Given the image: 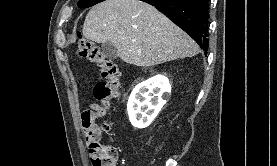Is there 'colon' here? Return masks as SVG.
I'll return each mask as SVG.
<instances>
[{"instance_id": "colon-1", "label": "colon", "mask_w": 277, "mask_h": 166, "mask_svg": "<svg viewBox=\"0 0 277 166\" xmlns=\"http://www.w3.org/2000/svg\"><path fill=\"white\" fill-rule=\"evenodd\" d=\"M77 53L80 57L95 63L101 73V80L94 87V96L101 102L102 110H108L118 95L120 72L116 64L105 58L93 43L79 36L76 41ZM83 131L89 143L93 166H117V151L109 144L101 143V132H108L110 126L104 122L101 128L92 121L91 114L86 111Z\"/></svg>"}]
</instances>
